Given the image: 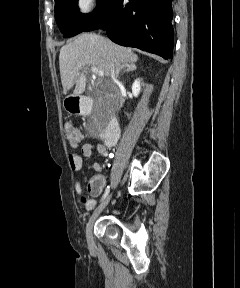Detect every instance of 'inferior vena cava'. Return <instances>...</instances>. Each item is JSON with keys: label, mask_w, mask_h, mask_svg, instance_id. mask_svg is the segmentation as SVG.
I'll use <instances>...</instances> for the list:
<instances>
[{"label": "inferior vena cava", "mask_w": 240, "mask_h": 288, "mask_svg": "<svg viewBox=\"0 0 240 288\" xmlns=\"http://www.w3.org/2000/svg\"><path fill=\"white\" fill-rule=\"evenodd\" d=\"M117 70H118V68L115 69L114 65L111 64V79H112L114 84L119 85V82L117 79L118 78Z\"/></svg>", "instance_id": "obj_1"}]
</instances>
